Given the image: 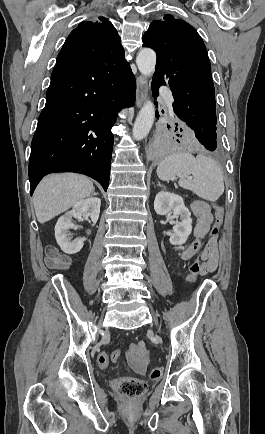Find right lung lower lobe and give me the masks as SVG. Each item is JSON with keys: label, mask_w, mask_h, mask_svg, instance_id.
Wrapping results in <instances>:
<instances>
[{"label": "right lung lower lobe", "mask_w": 265, "mask_h": 434, "mask_svg": "<svg viewBox=\"0 0 265 434\" xmlns=\"http://www.w3.org/2000/svg\"><path fill=\"white\" fill-rule=\"evenodd\" d=\"M124 56L97 63H57L31 144L30 191L54 172L82 173L107 191L116 113L135 100Z\"/></svg>", "instance_id": "1"}]
</instances>
